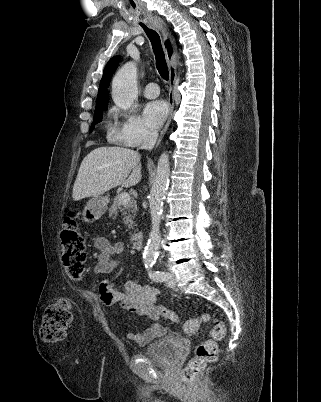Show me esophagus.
<instances>
[{
  "label": "esophagus",
  "instance_id": "34e87169",
  "mask_svg": "<svg viewBox=\"0 0 321 402\" xmlns=\"http://www.w3.org/2000/svg\"><path fill=\"white\" fill-rule=\"evenodd\" d=\"M152 24L161 32L162 37H163V48H164V53L168 65V70H169V93H168V105H169V116L167 119V122L163 128V130L160 133V136L158 138L156 147L160 144L162 141L173 116V110H174V86H175V81H176V57H177V48H176V43L175 39L169 30L168 26L166 23L161 19L160 17H156L153 21Z\"/></svg>",
  "mask_w": 321,
  "mask_h": 402
}]
</instances>
